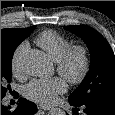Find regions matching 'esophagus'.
<instances>
[{
  "mask_svg": "<svg viewBox=\"0 0 115 115\" xmlns=\"http://www.w3.org/2000/svg\"><path fill=\"white\" fill-rule=\"evenodd\" d=\"M38 109H40V110H44V111L50 110L49 107L41 106V105L38 106Z\"/></svg>",
  "mask_w": 115,
  "mask_h": 115,
  "instance_id": "34e87169",
  "label": "esophagus"
}]
</instances>
